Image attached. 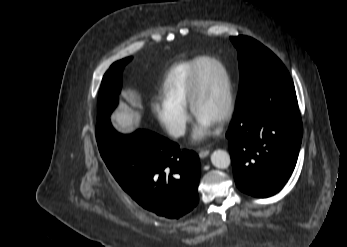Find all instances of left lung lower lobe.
<instances>
[{
	"label": "left lung lower lobe",
	"instance_id": "left-lung-lower-lobe-1",
	"mask_svg": "<svg viewBox=\"0 0 347 247\" xmlns=\"http://www.w3.org/2000/svg\"><path fill=\"white\" fill-rule=\"evenodd\" d=\"M237 187L265 198L291 176L302 140V122L290 76L271 79L236 107L226 134Z\"/></svg>",
	"mask_w": 347,
	"mask_h": 247
}]
</instances>
